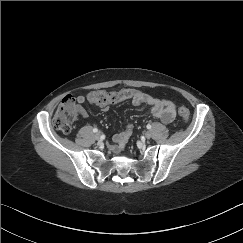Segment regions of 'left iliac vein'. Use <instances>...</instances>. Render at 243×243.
Returning a JSON list of instances; mask_svg holds the SVG:
<instances>
[{"label":"left iliac vein","mask_w":243,"mask_h":243,"mask_svg":"<svg viewBox=\"0 0 243 243\" xmlns=\"http://www.w3.org/2000/svg\"><path fill=\"white\" fill-rule=\"evenodd\" d=\"M144 135H145V138H147V139L151 138V136H152L150 131H146Z\"/></svg>","instance_id":"1"}]
</instances>
